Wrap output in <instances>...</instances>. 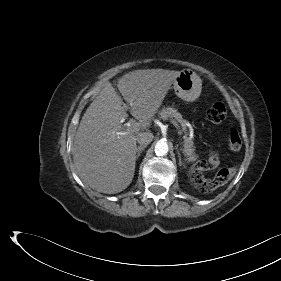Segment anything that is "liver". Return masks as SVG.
<instances>
[{
  "mask_svg": "<svg viewBox=\"0 0 281 281\" xmlns=\"http://www.w3.org/2000/svg\"><path fill=\"white\" fill-rule=\"evenodd\" d=\"M180 71L135 70L117 84L131 115L138 120L127 135L121 124L128 114L122 99L108 83L84 113L72 146L79 177L92 189L114 194L126 189L134 177L137 135L147 129Z\"/></svg>",
  "mask_w": 281,
  "mask_h": 281,
  "instance_id": "liver-1",
  "label": "liver"
}]
</instances>
